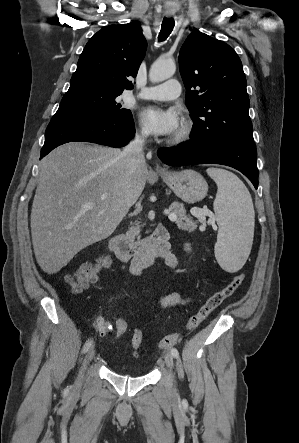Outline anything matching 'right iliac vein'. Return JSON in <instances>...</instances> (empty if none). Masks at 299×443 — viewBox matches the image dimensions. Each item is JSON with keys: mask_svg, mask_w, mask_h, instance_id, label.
Returning <instances> with one entry per match:
<instances>
[{"mask_svg": "<svg viewBox=\"0 0 299 443\" xmlns=\"http://www.w3.org/2000/svg\"><path fill=\"white\" fill-rule=\"evenodd\" d=\"M94 355H95L94 347H91L90 350L88 351L87 355L85 356V359L83 361V365H82L81 370L79 372V375H78V378H77V381H76V385L77 386L81 385L84 370L86 369V367L89 364V362L93 359Z\"/></svg>", "mask_w": 299, "mask_h": 443, "instance_id": "obj_1", "label": "right iliac vein"}]
</instances>
